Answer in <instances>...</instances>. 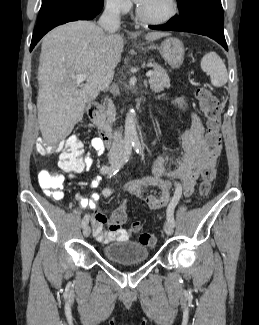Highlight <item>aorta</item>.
<instances>
[{"instance_id":"aorta-1","label":"aorta","mask_w":259,"mask_h":325,"mask_svg":"<svg viewBox=\"0 0 259 325\" xmlns=\"http://www.w3.org/2000/svg\"><path fill=\"white\" fill-rule=\"evenodd\" d=\"M125 138L133 143L134 146L139 147V139L135 123V111L130 109L125 119Z\"/></svg>"}]
</instances>
